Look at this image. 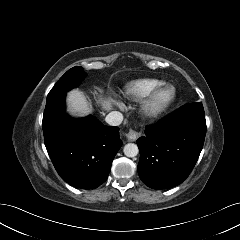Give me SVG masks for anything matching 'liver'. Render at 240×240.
<instances>
[{"label": "liver", "mask_w": 240, "mask_h": 240, "mask_svg": "<svg viewBox=\"0 0 240 240\" xmlns=\"http://www.w3.org/2000/svg\"><path fill=\"white\" fill-rule=\"evenodd\" d=\"M67 101H68L69 111L72 114H76L79 116H86L92 112L91 104L87 101L84 94L78 90L70 91L68 93ZM99 101L104 110H111L112 108L111 100L100 99Z\"/></svg>", "instance_id": "6515ba94"}]
</instances>
